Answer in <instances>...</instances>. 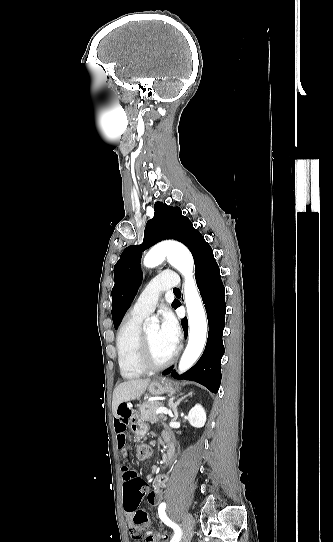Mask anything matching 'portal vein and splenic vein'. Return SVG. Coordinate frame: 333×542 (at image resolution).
Instances as JSON below:
<instances>
[{"label": "portal vein and splenic vein", "instance_id": "portal-vein-and-splenic-vein-1", "mask_svg": "<svg viewBox=\"0 0 333 542\" xmlns=\"http://www.w3.org/2000/svg\"><path fill=\"white\" fill-rule=\"evenodd\" d=\"M154 414H169L167 408H163V406H161V408H157V410H155Z\"/></svg>", "mask_w": 333, "mask_h": 542}]
</instances>
